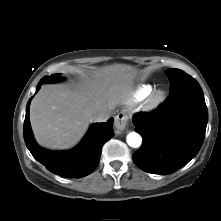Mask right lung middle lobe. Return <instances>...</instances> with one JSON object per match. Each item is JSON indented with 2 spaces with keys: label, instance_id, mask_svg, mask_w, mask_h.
Instances as JSON below:
<instances>
[{
  "label": "right lung middle lobe",
  "instance_id": "1",
  "mask_svg": "<svg viewBox=\"0 0 221 221\" xmlns=\"http://www.w3.org/2000/svg\"><path fill=\"white\" fill-rule=\"evenodd\" d=\"M61 80H63V77H61L60 74H54V75H51L50 77L49 76L43 77L40 82L52 83V82H59Z\"/></svg>",
  "mask_w": 221,
  "mask_h": 221
}]
</instances>
